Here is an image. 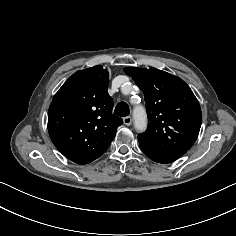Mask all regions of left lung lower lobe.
<instances>
[{
	"instance_id": "obj_1",
	"label": "left lung lower lobe",
	"mask_w": 236,
	"mask_h": 236,
	"mask_svg": "<svg viewBox=\"0 0 236 236\" xmlns=\"http://www.w3.org/2000/svg\"><path fill=\"white\" fill-rule=\"evenodd\" d=\"M140 148L144 152V154L147 155L150 159L162 164L173 162L187 152L182 150L155 149L143 146L141 144Z\"/></svg>"
}]
</instances>
